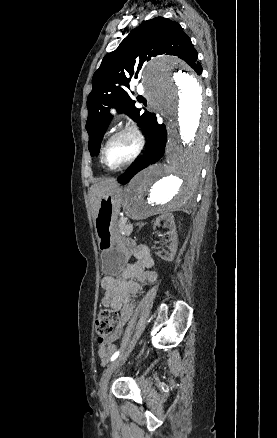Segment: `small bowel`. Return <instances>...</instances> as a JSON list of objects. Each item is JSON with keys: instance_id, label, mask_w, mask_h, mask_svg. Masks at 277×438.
I'll list each match as a JSON object with an SVG mask.
<instances>
[{"instance_id": "c3829d8e", "label": "small bowel", "mask_w": 277, "mask_h": 438, "mask_svg": "<svg viewBox=\"0 0 277 438\" xmlns=\"http://www.w3.org/2000/svg\"><path fill=\"white\" fill-rule=\"evenodd\" d=\"M134 260L129 263L118 276H104L100 282L104 290L102 304L118 312L117 324L111 340L118 339L131 318L134 310L133 297L139 294L145 283L156 281V274L149 269L153 266V258L148 247L139 245L133 252ZM116 347L106 343L99 347L98 354L102 363H106L115 353Z\"/></svg>"}]
</instances>
